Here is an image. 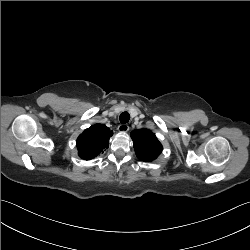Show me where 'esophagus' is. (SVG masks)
Here are the masks:
<instances>
[{
  "label": "esophagus",
  "mask_w": 250,
  "mask_h": 250,
  "mask_svg": "<svg viewBox=\"0 0 250 250\" xmlns=\"http://www.w3.org/2000/svg\"><path fill=\"white\" fill-rule=\"evenodd\" d=\"M128 130H129V126H128L127 124H120V125L118 126V131H119V132L125 133V132H127Z\"/></svg>",
  "instance_id": "obj_1"
}]
</instances>
